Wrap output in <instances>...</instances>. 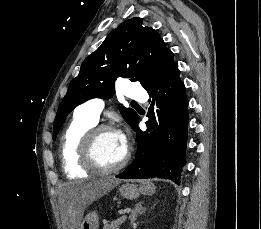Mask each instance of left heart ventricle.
<instances>
[{"label": "left heart ventricle", "instance_id": "left-heart-ventricle-1", "mask_svg": "<svg viewBox=\"0 0 261 229\" xmlns=\"http://www.w3.org/2000/svg\"><path fill=\"white\" fill-rule=\"evenodd\" d=\"M125 153L126 149L122 146L117 132H106L100 136L96 146V156L102 165L107 167L117 165Z\"/></svg>", "mask_w": 261, "mask_h": 229}]
</instances>
